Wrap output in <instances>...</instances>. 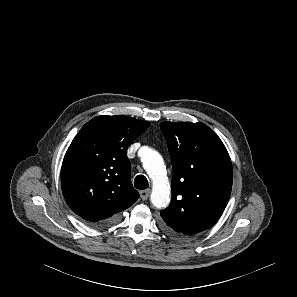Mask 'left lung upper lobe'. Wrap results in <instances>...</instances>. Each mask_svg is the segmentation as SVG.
I'll use <instances>...</instances> for the list:
<instances>
[{
  "instance_id": "left-lung-upper-lobe-1",
  "label": "left lung upper lobe",
  "mask_w": 297,
  "mask_h": 297,
  "mask_svg": "<svg viewBox=\"0 0 297 297\" xmlns=\"http://www.w3.org/2000/svg\"><path fill=\"white\" fill-rule=\"evenodd\" d=\"M172 160V200L160 212L162 225L189 237L212 227L222 215L232 189L229 154L206 125L162 122Z\"/></svg>"
}]
</instances>
